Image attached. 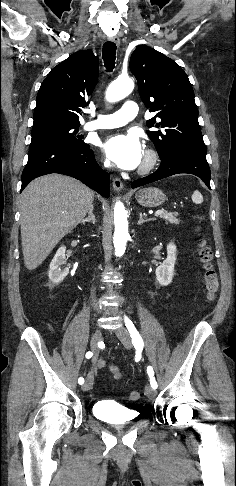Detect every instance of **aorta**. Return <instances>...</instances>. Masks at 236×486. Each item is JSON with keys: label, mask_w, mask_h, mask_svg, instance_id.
<instances>
[{"label": "aorta", "mask_w": 236, "mask_h": 486, "mask_svg": "<svg viewBox=\"0 0 236 486\" xmlns=\"http://www.w3.org/2000/svg\"><path fill=\"white\" fill-rule=\"evenodd\" d=\"M134 89V82L130 78H118L113 81L106 91V99L109 102H117L128 96ZM115 231L113 242L115 255L121 257L126 250L129 239L127 212L122 202H117L114 207Z\"/></svg>", "instance_id": "762f6f07"}]
</instances>
